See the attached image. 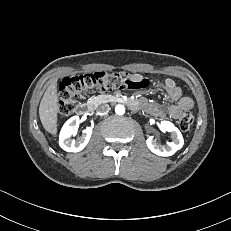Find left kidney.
<instances>
[{"label":"left kidney","instance_id":"obj_1","mask_svg":"<svg viewBox=\"0 0 231 231\" xmlns=\"http://www.w3.org/2000/svg\"><path fill=\"white\" fill-rule=\"evenodd\" d=\"M160 125L163 130L170 132L172 142H168L167 146L160 145L156 139L150 136L146 140L147 147L158 156H171L183 147L184 140L182 134L179 129L169 121H162Z\"/></svg>","mask_w":231,"mask_h":231}]
</instances>
